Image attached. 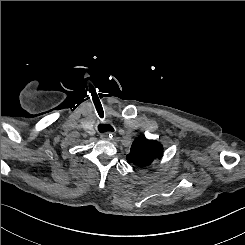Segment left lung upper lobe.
<instances>
[{"instance_id": "1", "label": "left lung upper lobe", "mask_w": 245, "mask_h": 245, "mask_svg": "<svg viewBox=\"0 0 245 245\" xmlns=\"http://www.w3.org/2000/svg\"><path fill=\"white\" fill-rule=\"evenodd\" d=\"M163 156V146L154 140L145 137H137L131 146V151L127 155L128 163L135 166L146 167L155 160H160Z\"/></svg>"}]
</instances>
